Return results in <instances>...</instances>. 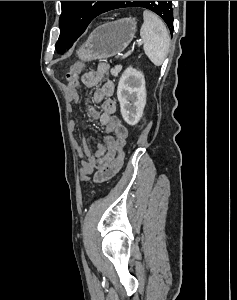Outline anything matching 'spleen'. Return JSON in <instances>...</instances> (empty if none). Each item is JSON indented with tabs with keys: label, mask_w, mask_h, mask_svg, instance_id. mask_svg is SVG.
<instances>
[{
	"label": "spleen",
	"mask_w": 237,
	"mask_h": 300,
	"mask_svg": "<svg viewBox=\"0 0 237 300\" xmlns=\"http://www.w3.org/2000/svg\"><path fill=\"white\" fill-rule=\"evenodd\" d=\"M144 23L140 29V37L144 43L145 55L155 67L163 65L170 47L169 33L161 19L151 13L144 11Z\"/></svg>",
	"instance_id": "spleen-1"
}]
</instances>
